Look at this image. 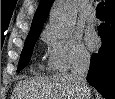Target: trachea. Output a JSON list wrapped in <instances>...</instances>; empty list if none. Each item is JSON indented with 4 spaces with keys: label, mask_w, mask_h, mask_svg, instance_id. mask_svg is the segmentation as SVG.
Wrapping results in <instances>:
<instances>
[{
    "label": "trachea",
    "mask_w": 115,
    "mask_h": 99,
    "mask_svg": "<svg viewBox=\"0 0 115 99\" xmlns=\"http://www.w3.org/2000/svg\"><path fill=\"white\" fill-rule=\"evenodd\" d=\"M104 2H100L96 7V15L103 16Z\"/></svg>",
    "instance_id": "1"
}]
</instances>
